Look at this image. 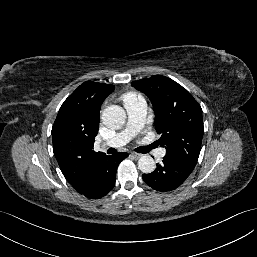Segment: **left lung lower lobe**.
<instances>
[{"label": "left lung lower lobe", "mask_w": 257, "mask_h": 257, "mask_svg": "<svg viewBox=\"0 0 257 257\" xmlns=\"http://www.w3.org/2000/svg\"><path fill=\"white\" fill-rule=\"evenodd\" d=\"M193 169L174 158L164 156L162 163L157 165L154 172L143 174L142 177L153 189L165 192L178 188Z\"/></svg>", "instance_id": "0a47b994"}]
</instances>
